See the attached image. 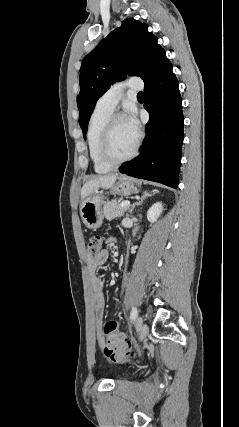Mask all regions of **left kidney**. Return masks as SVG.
<instances>
[{"label": "left kidney", "instance_id": "1", "mask_svg": "<svg viewBox=\"0 0 239 427\" xmlns=\"http://www.w3.org/2000/svg\"><path fill=\"white\" fill-rule=\"evenodd\" d=\"M162 211H163V205L161 202H157L153 204L147 212L148 221L156 222L160 214L162 213Z\"/></svg>", "mask_w": 239, "mask_h": 427}]
</instances>
